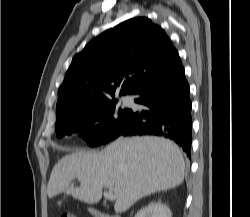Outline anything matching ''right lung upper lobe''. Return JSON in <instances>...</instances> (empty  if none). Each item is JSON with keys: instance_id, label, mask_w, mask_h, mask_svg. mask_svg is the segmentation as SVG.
Segmentation results:
<instances>
[{"instance_id": "1", "label": "right lung upper lobe", "mask_w": 250, "mask_h": 217, "mask_svg": "<svg viewBox=\"0 0 250 217\" xmlns=\"http://www.w3.org/2000/svg\"><path fill=\"white\" fill-rule=\"evenodd\" d=\"M179 57L163 29L149 18L129 19L94 38L76 54L58 91L56 122L114 100L116 90L135 94Z\"/></svg>"}]
</instances>
